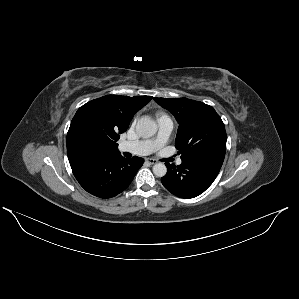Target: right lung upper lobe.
<instances>
[{
	"instance_id": "obj_1",
	"label": "right lung upper lobe",
	"mask_w": 299,
	"mask_h": 299,
	"mask_svg": "<svg viewBox=\"0 0 299 299\" xmlns=\"http://www.w3.org/2000/svg\"><path fill=\"white\" fill-rule=\"evenodd\" d=\"M151 99V96L106 95L84 104L76 112L67 133L68 159L95 152H115L107 145L94 142L92 132L100 130L111 138H119L133 115Z\"/></svg>"
}]
</instances>
